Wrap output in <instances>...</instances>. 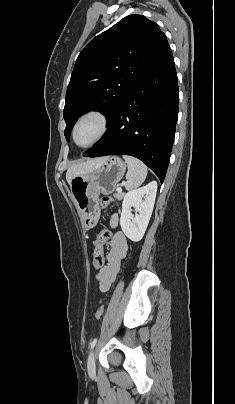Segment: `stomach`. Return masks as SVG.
I'll return each mask as SVG.
<instances>
[{"instance_id":"stomach-1","label":"stomach","mask_w":235,"mask_h":404,"mask_svg":"<svg viewBox=\"0 0 235 404\" xmlns=\"http://www.w3.org/2000/svg\"><path fill=\"white\" fill-rule=\"evenodd\" d=\"M125 163L118 156L107 157L90 172L74 177L71 194L85 230L92 229L100 217L99 196L113 193L125 173Z\"/></svg>"}]
</instances>
